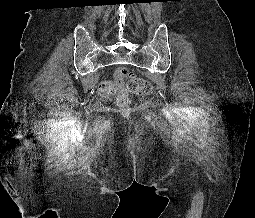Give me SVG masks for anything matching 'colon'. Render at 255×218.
<instances>
[{"label":"colon","mask_w":255,"mask_h":218,"mask_svg":"<svg viewBox=\"0 0 255 218\" xmlns=\"http://www.w3.org/2000/svg\"><path fill=\"white\" fill-rule=\"evenodd\" d=\"M127 80V86L125 90H122L119 86L120 83ZM101 95L108 96L118 93L117 102L119 106L124 107L129 103V94H138L140 96L149 97L152 95V84L138 77H133L131 71L125 67L120 66L116 69L114 80L111 82L102 83L99 87Z\"/></svg>","instance_id":"5ec220e1"}]
</instances>
